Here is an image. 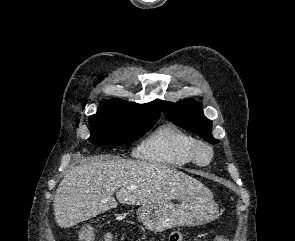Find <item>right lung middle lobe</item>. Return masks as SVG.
<instances>
[{"label":"right lung middle lobe","mask_w":295,"mask_h":241,"mask_svg":"<svg viewBox=\"0 0 295 241\" xmlns=\"http://www.w3.org/2000/svg\"><path fill=\"white\" fill-rule=\"evenodd\" d=\"M158 118L121 102L104 100L97 113L89 116V141L106 146L135 141L148 132Z\"/></svg>","instance_id":"right-lung-middle-lobe-1"}]
</instances>
